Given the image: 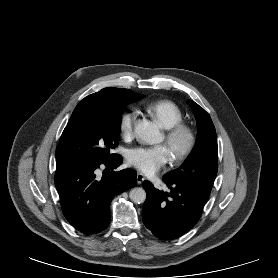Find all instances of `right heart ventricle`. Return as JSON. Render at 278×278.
<instances>
[{
    "mask_svg": "<svg viewBox=\"0 0 278 278\" xmlns=\"http://www.w3.org/2000/svg\"><path fill=\"white\" fill-rule=\"evenodd\" d=\"M145 111L165 129H170L183 120L182 110L171 100L151 102L145 106Z\"/></svg>",
    "mask_w": 278,
    "mask_h": 278,
    "instance_id": "e07e8e85",
    "label": "right heart ventricle"
}]
</instances>
